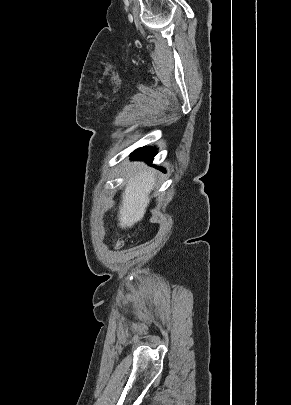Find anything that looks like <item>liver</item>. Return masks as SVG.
I'll return each instance as SVG.
<instances>
[{"label":"liver","mask_w":291,"mask_h":405,"mask_svg":"<svg viewBox=\"0 0 291 405\" xmlns=\"http://www.w3.org/2000/svg\"><path fill=\"white\" fill-rule=\"evenodd\" d=\"M155 180L154 170L150 168L137 171L128 179L118 215L122 229L131 228L143 219Z\"/></svg>","instance_id":"liver-1"}]
</instances>
